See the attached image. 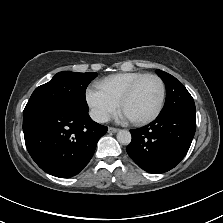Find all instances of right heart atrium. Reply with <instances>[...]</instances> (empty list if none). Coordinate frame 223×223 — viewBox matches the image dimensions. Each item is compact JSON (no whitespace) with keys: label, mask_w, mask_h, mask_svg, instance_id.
I'll use <instances>...</instances> for the list:
<instances>
[{"label":"right heart atrium","mask_w":223,"mask_h":223,"mask_svg":"<svg viewBox=\"0 0 223 223\" xmlns=\"http://www.w3.org/2000/svg\"><path fill=\"white\" fill-rule=\"evenodd\" d=\"M86 101L92 118L97 122L107 121L119 108V100L114 99L98 82L87 89Z\"/></svg>","instance_id":"1"}]
</instances>
